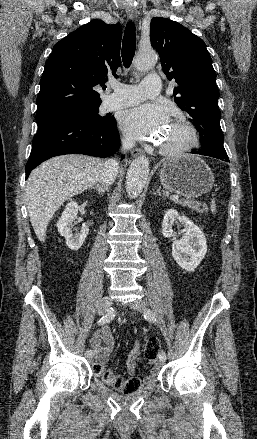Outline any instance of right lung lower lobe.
<instances>
[{
  "mask_svg": "<svg viewBox=\"0 0 257 439\" xmlns=\"http://www.w3.org/2000/svg\"><path fill=\"white\" fill-rule=\"evenodd\" d=\"M119 146V132L113 117L102 124L67 115L39 121L25 168L26 179L36 166L51 157L75 153L109 157Z\"/></svg>",
  "mask_w": 257,
  "mask_h": 439,
  "instance_id": "right-lung-lower-lobe-1",
  "label": "right lung lower lobe"
}]
</instances>
